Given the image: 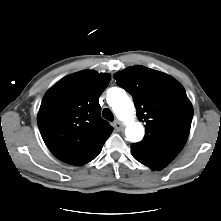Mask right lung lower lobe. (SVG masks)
Listing matches in <instances>:
<instances>
[{
  "label": "right lung lower lobe",
  "instance_id": "right-lung-lower-lobe-1",
  "mask_svg": "<svg viewBox=\"0 0 221 221\" xmlns=\"http://www.w3.org/2000/svg\"><path fill=\"white\" fill-rule=\"evenodd\" d=\"M100 151H101V150H99V151H98L90 160H88L86 163L90 162V161L93 160L95 157H97L98 154L100 153ZM86 163H85V164H86Z\"/></svg>",
  "mask_w": 221,
  "mask_h": 221
}]
</instances>
